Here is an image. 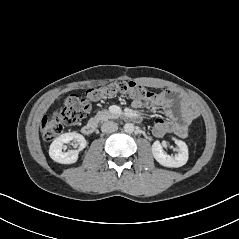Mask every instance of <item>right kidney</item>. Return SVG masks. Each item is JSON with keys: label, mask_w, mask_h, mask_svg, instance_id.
<instances>
[{"label": "right kidney", "mask_w": 239, "mask_h": 239, "mask_svg": "<svg viewBox=\"0 0 239 239\" xmlns=\"http://www.w3.org/2000/svg\"><path fill=\"white\" fill-rule=\"evenodd\" d=\"M74 141L75 145H79V150H71L63 152L62 149H66V143ZM87 145L85 138L78 133L69 132L57 137L50 145L49 156L55 162L61 164H72L78 160V152L83 150Z\"/></svg>", "instance_id": "ca27d5eb"}]
</instances>
